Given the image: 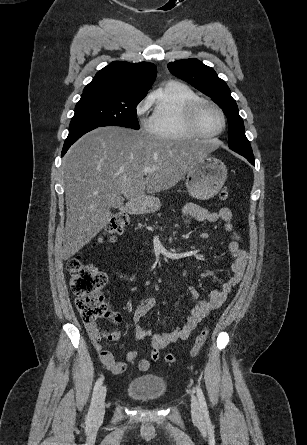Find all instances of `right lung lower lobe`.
I'll return each mask as SVG.
<instances>
[{"instance_id":"98d812e1","label":"right lung lower lobe","mask_w":307,"mask_h":445,"mask_svg":"<svg viewBox=\"0 0 307 445\" xmlns=\"http://www.w3.org/2000/svg\"><path fill=\"white\" fill-rule=\"evenodd\" d=\"M95 128H97V127H94V128H88V129H84V130H81V131H79V132H76V133H74V134H69L68 137H67V139L65 140V143H64V147H63V150H62V156H64V154L67 152V150L69 149V147H70L75 141H77L82 135H84L85 133H87V132H89V131H91V130H93V129H95Z\"/></svg>"}]
</instances>
